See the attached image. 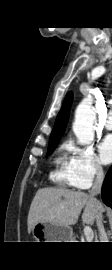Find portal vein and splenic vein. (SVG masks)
Wrapping results in <instances>:
<instances>
[{
    "mask_svg": "<svg viewBox=\"0 0 112 270\" xmlns=\"http://www.w3.org/2000/svg\"><path fill=\"white\" fill-rule=\"evenodd\" d=\"M83 231H84V235H85L87 242H92V240L94 238V234H93V230L91 229V227L85 226Z\"/></svg>",
    "mask_w": 112,
    "mask_h": 270,
    "instance_id": "obj_1",
    "label": "portal vein and splenic vein"
}]
</instances>
